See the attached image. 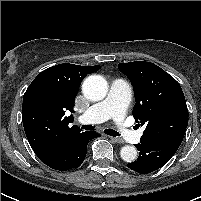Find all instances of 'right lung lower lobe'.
I'll return each instance as SVG.
<instances>
[{
	"instance_id": "1",
	"label": "right lung lower lobe",
	"mask_w": 201,
	"mask_h": 201,
	"mask_svg": "<svg viewBox=\"0 0 201 201\" xmlns=\"http://www.w3.org/2000/svg\"><path fill=\"white\" fill-rule=\"evenodd\" d=\"M99 137L92 131L75 135L56 155L42 159L47 166L60 171L79 167L86 157L89 140Z\"/></svg>"
}]
</instances>
